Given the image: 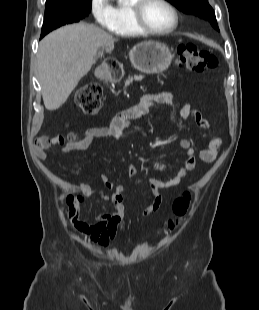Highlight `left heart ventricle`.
<instances>
[{
    "instance_id": "b2bd125f",
    "label": "left heart ventricle",
    "mask_w": 259,
    "mask_h": 310,
    "mask_svg": "<svg viewBox=\"0 0 259 310\" xmlns=\"http://www.w3.org/2000/svg\"><path fill=\"white\" fill-rule=\"evenodd\" d=\"M144 19L155 30H166L174 23L172 12L158 0H151L146 5Z\"/></svg>"
}]
</instances>
